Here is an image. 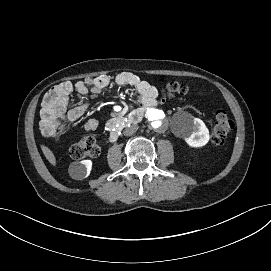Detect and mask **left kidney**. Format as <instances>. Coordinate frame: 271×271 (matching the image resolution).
<instances>
[{
  "label": "left kidney",
  "mask_w": 271,
  "mask_h": 271,
  "mask_svg": "<svg viewBox=\"0 0 271 271\" xmlns=\"http://www.w3.org/2000/svg\"><path fill=\"white\" fill-rule=\"evenodd\" d=\"M189 125L185 133L182 134L186 137L187 142L192 146H202L207 143L209 135L208 130L202 120L191 117L188 121Z\"/></svg>",
  "instance_id": "5707ae66"
}]
</instances>
